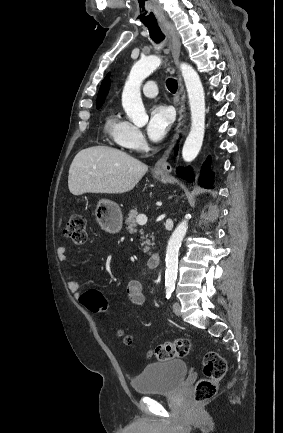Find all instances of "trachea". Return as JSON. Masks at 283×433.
Segmentation results:
<instances>
[{
	"label": "trachea",
	"instance_id": "1",
	"mask_svg": "<svg viewBox=\"0 0 283 433\" xmlns=\"http://www.w3.org/2000/svg\"><path fill=\"white\" fill-rule=\"evenodd\" d=\"M149 30L150 38L156 44H160L165 39L164 33L161 31L159 25H147ZM166 86L171 93H176L178 88V83L174 78H168L166 81Z\"/></svg>",
	"mask_w": 283,
	"mask_h": 433
}]
</instances>
